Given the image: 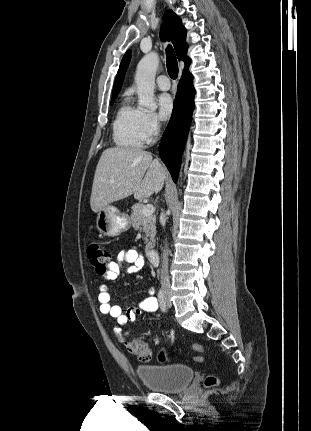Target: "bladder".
Wrapping results in <instances>:
<instances>
[{
  "instance_id": "1",
  "label": "bladder",
  "mask_w": 311,
  "mask_h": 431,
  "mask_svg": "<svg viewBox=\"0 0 311 431\" xmlns=\"http://www.w3.org/2000/svg\"><path fill=\"white\" fill-rule=\"evenodd\" d=\"M140 381L149 389L176 393L185 389L194 378L193 369L186 364H146L136 367Z\"/></svg>"
}]
</instances>
